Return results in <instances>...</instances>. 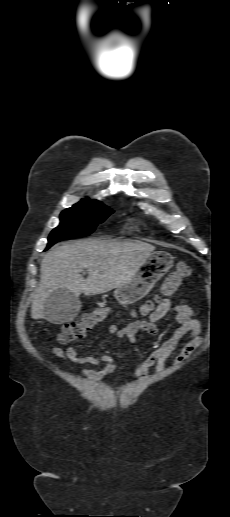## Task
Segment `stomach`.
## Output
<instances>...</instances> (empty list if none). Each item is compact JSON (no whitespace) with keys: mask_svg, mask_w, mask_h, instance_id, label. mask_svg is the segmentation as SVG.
I'll return each mask as SVG.
<instances>
[{"mask_svg":"<svg viewBox=\"0 0 230 517\" xmlns=\"http://www.w3.org/2000/svg\"><path fill=\"white\" fill-rule=\"evenodd\" d=\"M172 266L173 257L169 253H151L139 270L124 285L115 289V299L122 305L139 301Z\"/></svg>","mask_w":230,"mask_h":517,"instance_id":"0dacf381","label":"stomach"}]
</instances>
